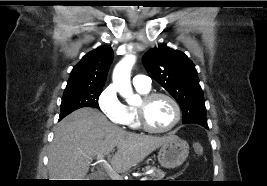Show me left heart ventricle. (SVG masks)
<instances>
[{"instance_id": "1", "label": "left heart ventricle", "mask_w": 267, "mask_h": 186, "mask_svg": "<svg viewBox=\"0 0 267 186\" xmlns=\"http://www.w3.org/2000/svg\"><path fill=\"white\" fill-rule=\"evenodd\" d=\"M174 115L172 104L162 97L154 99L147 108V121L153 128L169 126L174 120Z\"/></svg>"}]
</instances>
